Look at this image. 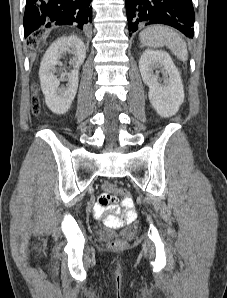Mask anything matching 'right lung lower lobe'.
Here are the masks:
<instances>
[{
  "label": "right lung lower lobe",
  "instance_id": "1",
  "mask_svg": "<svg viewBox=\"0 0 227 298\" xmlns=\"http://www.w3.org/2000/svg\"><path fill=\"white\" fill-rule=\"evenodd\" d=\"M91 0H26L24 35L41 27L73 25L86 28L92 22Z\"/></svg>",
  "mask_w": 227,
  "mask_h": 298
}]
</instances>
